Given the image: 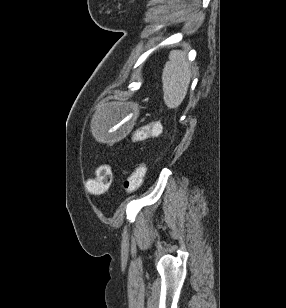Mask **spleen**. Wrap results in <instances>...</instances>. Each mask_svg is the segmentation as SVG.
Listing matches in <instances>:
<instances>
[{
    "label": "spleen",
    "mask_w": 286,
    "mask_h": 308,
    "mask_svg": "<svg viewBox=\"0 0 286 308\" xmlns=\"http://www.w3.org/2000/svg\"><path fill=\"white\" fill-rule=\"evenodd\" d=\"M190 79L191 66L186 60V53L172 51L162 74L163 98L170 109L181 105L187 94Z\"/></svg>",
    "instance_id": "1"
}]
</instances>
